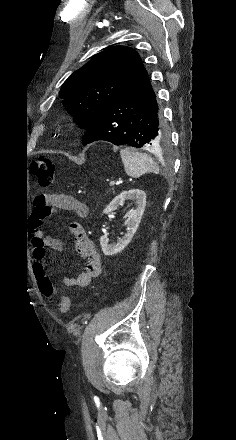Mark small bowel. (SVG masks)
Returning <instances> with one entry per match:
<instances>
[{
	"mask_svg": "<svg viewBox=\"0 0 236 440\" xmlns=\"http://www.w3.org/2000/svg\"><path fill=\"white\" fill-rule=\"evenodd\" d=\"M35 225L32 243L36 262L33 266V274L39 284L45 279L46 262L43 250L45 247L53 250H62V241L50 235H43L38 230L39 222L50 215L51 210L73 211L79 218H85L89 213L88 206L76 198L65 194H39L35 196ZM70 233L74 248L78 255L86 259L84 270L74 278L64 277L63 283L69 287H89L93 280L102 273V258L94 243L87 237L85 229L79 222L70 225Z\"/></svg>",
	"mask_w": 236,
	"mask_h": 440,
	"instance_id": "1",
	"label": "small bowel"
}]
</instances>
